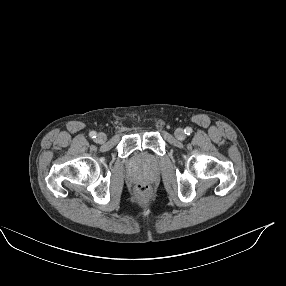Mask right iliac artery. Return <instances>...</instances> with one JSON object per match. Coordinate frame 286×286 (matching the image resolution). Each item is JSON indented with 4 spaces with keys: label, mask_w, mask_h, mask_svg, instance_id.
<instances>
[{
    "label": "right iliac artery",
    "mask_w": 286,
    "mask_h": 286,
    "mask_svg": "<svg viewBox=\"0 0 286 286\" xmlns=\"http://www.w3.org/2000/svg\"><path fill=\"white\" fill-rule=\"evenodd\" d=\"M96 132L95 131H91L90 133H89V136L91 137V138H96Z\"/></svg>",
    "instance_id": "1"
}]
</instances>
